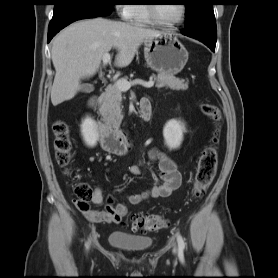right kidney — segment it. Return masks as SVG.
Masks as SVG:
<instances>
[{
  "label": "right kidney",
  "instance_id": "right-kidney-1",
  "mask_svg": "<svg viewBox=\"0 0 278 278\" xmlns=\"http://www.w3.org/2000/svg\"><path fill=\"white\" fill-rule=\"evenodd\" d=\"M81 135L88 147H94L98 141V132L95 121L91 117H86L81 124Z\"/></svg>",
  "mask_w": 278,
  "mask_h": 278
}]
</instances>
